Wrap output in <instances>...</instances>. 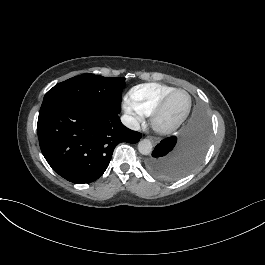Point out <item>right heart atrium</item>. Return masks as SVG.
I'll return each instance as SVG.
<instances>
[{"instance_id": "obj_1", "label": "right heart atrium", "mask_w": 265, "mask_h": 265, "mask_svg": "<svg viewBox=\"0 0 265 265\" xmlns=\"http://www.w3.org/2000/svg\"><path fill=\"white\" fill-rule=\"evenodd\" d=\"M124 107L130 113H132L133 115H135L137 122H141V120H142V113L136 108V106L130 100L125 99V101H124Z\"/></svg>"}]
</instances>
